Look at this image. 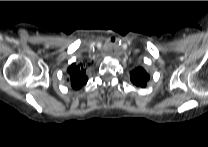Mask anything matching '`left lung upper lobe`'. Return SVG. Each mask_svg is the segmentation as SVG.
Wrapping results in <instances>:
<instances>
[{"instance_id":"1","label":"left lung upper lobe","mask_w":208,"mask_h":147,"mask_svg":"<svg viewBox=\"0 0 208 147\" xmlns=\"http://www.w3.org/2000/svg\"><path fill=\"white\" fill-rule=\"evenodd\" d=\"M131 75V82L135 84L136 86H140L144 88L150 78L148 73L142 68L137 67L133 71L130 72Z\"/></svg>"}]
</instances>
